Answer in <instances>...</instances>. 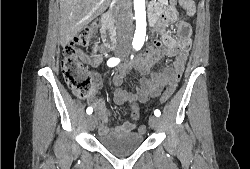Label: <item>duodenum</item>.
<instances>
[{"mask_svg":"<svg viewBox=\"0 0 250 169\" xmlns=\"http://www.w3.org/2000/svg\"><path fill=\"white\" fill-rule=\"evenodd\" d=\"M102 36L104 43L110 47L114 48L117 46V37L114 27V21L112 19V13L107 11L102 17Z\"/></svg>","mask_w":250,"mask_h":169,"instance_id":"obj_1","label":"duodenum"}]
</instances>
